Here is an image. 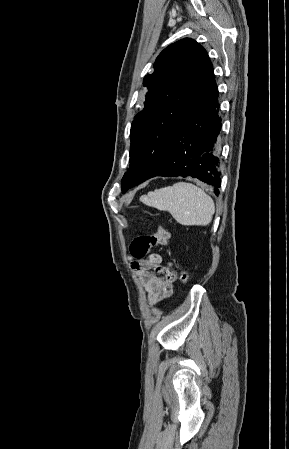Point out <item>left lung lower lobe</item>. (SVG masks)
I'll return each mask as SVG.
<instances>
[{
    "label": "left lung lower lobe",
    "instance_id": "left-lung-lower-lobe-1",
    "mask_svg": "<svg viewBox=\"0 0 289 449\" xmlns=\"http://www.w3.org/2000/svg\"><path fill=\"white\" fill-rule=\"evenodd\" d=\"M218 95L212 72L190 115L167 137L164 145L166 157L162 170L156 176L192 177L220 187L218 137L221 118ZM214 193L219 194L218 188Z\"/></svg>",
    "mask_w": 289,
    "mask_h": 449
}]
</instances>
